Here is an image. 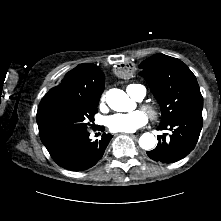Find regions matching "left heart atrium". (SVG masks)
<instances>
[{
  "instance_id": "1",
  "label": "left heart atrium",
  "mask_w": 221,
  "mask_h": 221,
  "mask_svg": "<svg viewBox=\"0 0 221 221\" xmlns=\"http://www.w3.org/2000/svg\"><path fill=\"white\" fill-rule=\"evenodd\" d=\"M148 117L143 111H133L130 113H117L109 116L106 125L112 132L132 133L145 126Z\"/></svg>"
}]
</instances>
